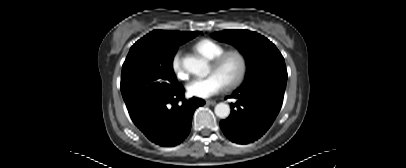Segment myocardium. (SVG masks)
I'll list each match as a JSON object with an SVG mask.
<instances>
[{"label":"myocardium","instance_id":"1","mask_svg":"<svg viewBox=\"0 0 406 168\" xmlns=\"http://www.w3.org/2000/svg\"><path fill=\"white\" fill-rule=\"evenodd\" d=\"M230 56H234L238 59L239 72L233 81L225 84V87L227 89H235L242 84V82L244 81V79L246 77L247 70H248V59L242 50L230 49V50H226V51L222 52L220 55H218L217 57H215L214 59L211 60V67L213 69L220 68L223 65V63L225 62V60L227 58H229Z\"/></svg>","mask_w":406,"mask_h":168}]
</instances>
